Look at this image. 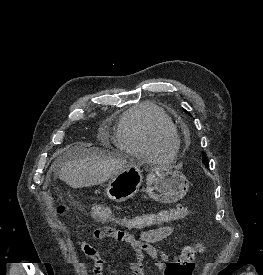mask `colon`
Returning a JSON list of instances; mask_svg holds the SVG:
<instances>
[{"label":"colon","instance_id":"5ec220e1","mask_svg":"<svg viewBox=\"0 0 263 275\" xmlns=\"http://www.w3.org/2000/svg\"><path fill=\"white\" fill-rule=\"evenodd\" d=\"M86 214L96 222H114L129 230H141L152 226L164 225L185 218L189 214L187 206L179 204L176 207L163 209L158 212L134 216H120L106 205H95L86 211ZM119 230L116 238L127 239L129 234ZM203 251L200 244L184 247L179 254L172 258L168 266L170 275H187L194 268L196 257Z\"/></svg>","mask_w":263,"mask_h":275}]
</instances>
